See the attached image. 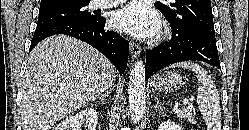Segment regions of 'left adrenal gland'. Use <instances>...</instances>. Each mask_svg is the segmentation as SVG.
Returning <instances> with one entry per match:
<instances>
[{
	"mask_svg": "<svg viewBox=\"0 0 249 130\" xmlns=\"http://www.w3.org/2000/svg\"><path fill=\"white\" fill-rule=\"evenodd\" d=\"M155 99H156V105L154 106V109L161 108L158 97H156Z\"/></svg>",
	"mask_w": 249,
	"mask_h": 130,
	"instance_id": "a2214340",
	"label": "left adrenal gland"
}]
</instances>
